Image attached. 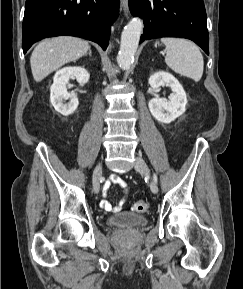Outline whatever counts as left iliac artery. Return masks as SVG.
Wrapping results in <instances>:
<instances>
[{"mask_svg": "<svg viewBox=\"0 0 243 289\" xmlns=\"http://www.w3.org/2000/svg\"><path fill=\"white\" fill-rule=\"evenodd\" d=\"M154 181L157 182V176L156 174L153 175Z\"/></svg>", "mask_w": 243, "mask_h": 289, "instance_id": "1", "label": "left iliac artery"}]
</instances>
